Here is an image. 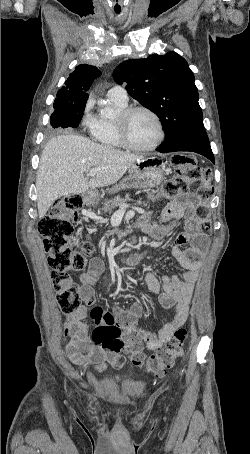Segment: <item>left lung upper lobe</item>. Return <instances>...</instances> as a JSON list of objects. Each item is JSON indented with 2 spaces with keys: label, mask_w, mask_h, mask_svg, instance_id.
Here are the masks:
<instances>
[{
  "label": "left lung upper lobe",
  "mask_w": 250,
  "mask_h": 454,
  "mask_svg": "<svg viewBox=\"0 0 250 454\" xmlns=\"http://www.w3.org/2000/svg\"><path fill=\"white\" fill-rule=\"evenodd\" d=\"M113 76L134 99L160 118L165 131L161 146L204 129L193 72L176 52L124 61Z\"/></svg>",
  "instance_id": "5c2ea615"
}]
</instances>
